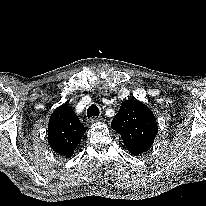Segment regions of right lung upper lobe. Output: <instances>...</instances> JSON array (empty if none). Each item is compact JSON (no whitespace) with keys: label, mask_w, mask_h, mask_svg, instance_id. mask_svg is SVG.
Instances as JSON below:
<instances>
[{"label":"right lung upper lobe","mask_w":206,"mask_h":206,"mask_svg":"<svg viewBox=\"0 0 206 206\" xmlns=\"http://www.w3.org/2000/svg\"><path fill=\"white\" fill-rule=\"evenodd\" d=\"M86 128L66 104L56 108L48 123V143L60 155L69 158L80 142Z\"/></svg>","instance_id":"obj_1"}]
</instances>
